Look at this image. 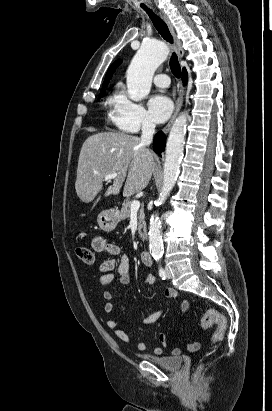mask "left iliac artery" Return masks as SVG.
<instances>
[{
	"instance_id": "obj_1",
	"label": "left iliac artery",
	"mask_w": 272,
	"mask_h": 411,
	"mask_svg": "<svg viewBox=\"0 0 272 411\" xmlns=\"http://www.w3.org/2000/svg\"><path fill=\"white\" fill-rule=\"evenodd\" d=\"M156 260L159 262V258H156ZM159 276L164 280L166 278V272L163 269V267L161 266V264L159 265Z\"/></svg>"
}]
</instances>
